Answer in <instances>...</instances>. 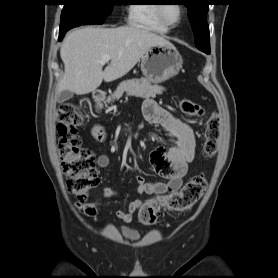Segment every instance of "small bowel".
Segmentation results:
<instances>
[{
    "label": "small bowel",
    "mask_w": 278,
    "mask_h": 278,
    "mask_svg": "<svg viewBox=\"0 0 278 278\" xmlns=\"http://www.w3.org/2000/svg\"><path fill=\"white\" fill-rule=\"evenodd\" d=\"M142 116L150 124L160 125L172 140L169 147L158 146L150 154V163L154 171L166 179L165 182L147 181L137 176V192L140 195H163L177 192L183 183L189 164L195 156L196 140L193 129L170 111L161 107L152 99H147L142 105ZM110 159L107 155H100L97 165L107 168ZM117 196V192L110 187L102 189V198ZM143 205V201L136 199L129 203L126 210L117 211V217L125 223H130L133 214ZM98 201L78 203L77 207L87 216L97 215Z\"/></svg>",
    "instance_id": "small-bowel-1"
}]
</instances>
